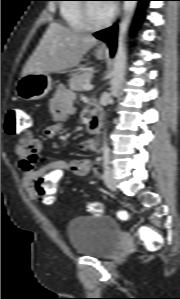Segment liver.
Here are the masks:
<instances>
[{
  "mask_svg": "<svg viewBox=\"0 0 180 299\" xmlns=\"http://www.w3.org/2000/svg\"><path fill=\"white\" fill-rule=\"evenodd\" d=\"M98 40L59 23H51L23 68L22 75L62 71L79 64Z\"/></svg>",
  "mask_w": 180,
  "mask_h": 299,
  "instance_id": "obj_1",
  "label": "liver"
}]
</instances>
